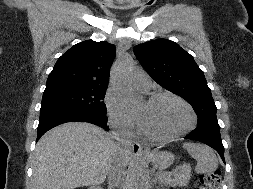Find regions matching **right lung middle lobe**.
Masks as SVG:
<instances>
[{
  "mask_svg": "<svg viewBox=\"0 0 253 189\" xmlns=\"http://www.w3.org/2000/svg\"><path fill=\"white\" fill-rule=\"evenodd\" d=\"M107 87L98 86H59L46 88L43 93L41 110L67 109L106 114L103 102Z\"/></svg>",
  "mask_w": 253,
  "mask_h": 189,
  "instance_id": "dd1d6c3e",
  "label": "right lung middle lobe"
}]
</instances>
